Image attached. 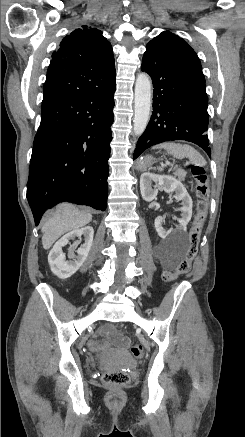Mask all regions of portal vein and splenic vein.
I'll use <instances>...</instances> for the list:
<instances>
[{
    "label": "portal vein and splenic vein",
    "mask_w": 245,
    "mask_h": 437,
    "mask_svg": "<svg viewBox=\"0 0 245 437\" xmlns=\"http://www.w3.org/2000/svg\"><path fill=\"white\" fill-rule=\"evenodd\" d=\"M171 167H173V165L172 164H169Z\"/></svg>",
    "instance_id": "1"
}]
</instances>
